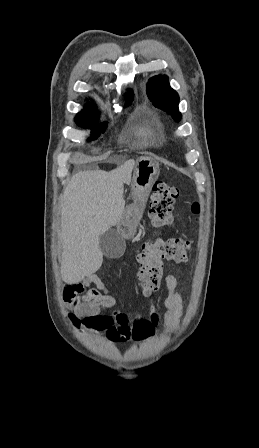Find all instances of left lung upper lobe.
Here are the masks:
<instances>
[{
	"instance_id": "1",
	"label": "left lung upper lobe",
	"mask_w": 259,
	"mask_h": 448,
	"mask_svg": "<svg viewBox=\"0 0 259 448\" xmlns=\"http://www.w3.org/2000/svg\"><path fill=\"white\" fill-rule=\"evenodd\" d=\"M147 94L156 107L173 115L175 121L181 119V113L178 109L179 96L177 92L170 87L166 75L151 78L147 84Z\"/></svg>"
}]
</instances>
